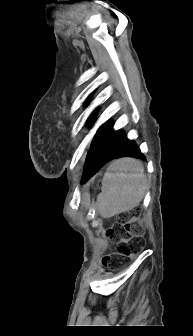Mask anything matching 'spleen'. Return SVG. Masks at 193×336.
<instances>
[{"mask_svg":"<svg viewBox=\"0 0 193 336\" xmlns=\"http://www.w3.org/2000/svg\"><path fill=\"white\" fill-rule=\"evenodd\" d=\"M146 189L142 163L130 158L118 159L104 174L96 208L103 218L132 210L143 199Z\"/></svg>","mask_w":193,"mask_h":336,"instance_id":"obj_1","label":"spleen"}]
</instances>
